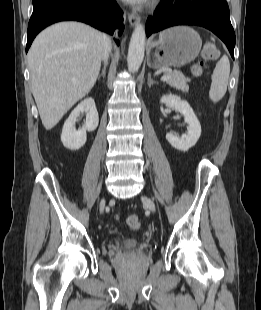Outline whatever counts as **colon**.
<instances>
[{"instance_id":"5ec220e1","label":"colon","mask_w":261,"mask_h":310,"mask_svg":"<svg viewBox=\"0 0 261 310\" xmlns=\"http://www.w3.org/2000/svg\"><path fill=\"white\" fill-rule=\"evenodd\" d=\"M218 57V50L212 42H207L201 53V60L193 67V73L196 76L201 75L204 72L206 64ZM126 223L130 229L137 230L141 226L140 219L137 215H130Z\"/></svg>"}]
</instances>
